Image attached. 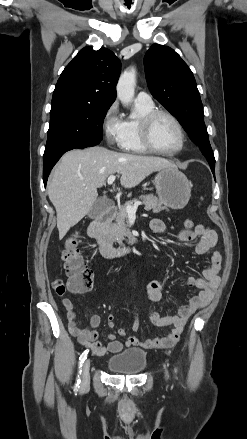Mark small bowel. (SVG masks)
Instances as JSON below:
<instances>
[{
	"label": "small bowel",
	"instance_id": "obj_1",
	"mask_svg": "<svg viewBox=\"0 0 247 439\" xmlns=\"http://www.w3.org/2000/svg\"><path fill=\"white\" fill-rule=\"evenodd\" d=\"M150 228L155 233H166L167 226L160 219H153L150 222ZM175 237L182 243H191L195 240L197 244L195 251L198 255H207L217 245L218 237L214 230L199 224L194 230H181ZM210 265L204 269L203 278L190 277L188 284L198 288L200 291L193 296L189 302L182 306L176 315H161L153 311L150 315L151 322L158 327L172 326V331L167 336H158L145 341H139L133 335H127L124 328L118 329V334L124 338L121 342L116 339L114 334L107 333L109 340L107 344L98 340L99 332L97 327L101 323L100 316L91 308L83 306L90 315V328L80 327L76 320L75 307L70 298L66 296L67 291H71L69 280L64 282L56 280L53 282V289L61 298L62 305L66 312L68 328L70 333L75 336L78 342L89 348L91 353L96 356H103L107 353H118L125 347L138 346L146 349H163L174 346L180 339L190 317L200 308L206 306L213 298L214 293L220 283L219 271L222 265V257L219 252L213 251L210 257ZM147 294L151 301L159 302L162 299V286L159 281L152 280L147 285ZM134 314L132 330L137 332L140 327L139 315L134 307H130ZM107 325L110 328L115 326L114 314L107 316Z\"/></svg>",
	"mask_w": 247,
	"mask_h": 439
}]
</instances>
